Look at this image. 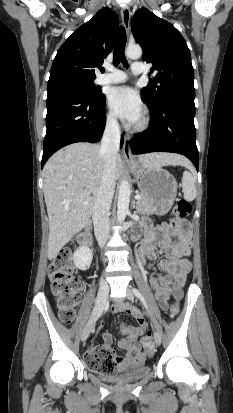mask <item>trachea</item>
I'll use <instances>...</instances> for the list:
<instances>
[{
	"mask_svg": "<svg viewBox=\"0 0 233 413\" xmlns=\"http://www.w3.org/2000/svg\"><path fill=\"white\" fill-rule=\"evenodd\" d=\"M125 46H126V32L124 27H120L117 38H116V43L114 47V53H113V64L116 66L120 62L125 66L128 67V62L125 58Z\"/></svg>",
	"mask_w": 233,
	"mask_h": 413,
	"instance_id": "obj_1",
	"label": "trachea"
}]
</instances>
